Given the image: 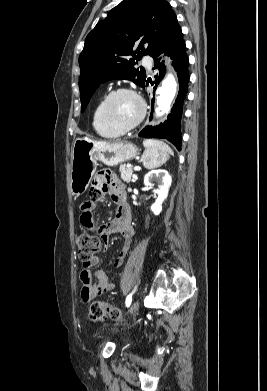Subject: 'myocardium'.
I'll return each instance as SVG.
<instances>
[{"mask_svg":"<svg viewBox=\"0 0 267 391\" xmlns=\"http://www.w3.org/2000/svg\"><path fill=\"white\" fill-rule=\"evenodd\" d=\"M121 93L131 94L132 96H134L137 99V101L140 105V112H139L138 117L135 119V121H133L131 124H129L127 126H121V125H118L115 122H113L112 119L110 118V115L108 112V106H109L111 99L114 96L121 94ZM146 110H147L146 103H145L144 99L142 98V96L136 90L129 88V87H118V88L111 90L104 97L103 102H102V106H101V115H102L104 122L111 129L118 131V132H121V133H126V132H129V131L135 129L142 122V120L144 119V117L146 115Z\"/></svg>","mask_w":267,"mask_h":391,"instance_id":"1","label":"myocardium"}]
</instances>
